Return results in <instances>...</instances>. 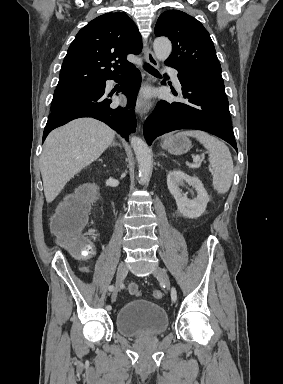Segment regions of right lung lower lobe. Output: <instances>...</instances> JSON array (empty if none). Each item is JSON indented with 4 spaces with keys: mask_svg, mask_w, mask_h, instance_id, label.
I'll return each mask as SVG.
<instances>
[{
    "mask_svg": "<svg viewBox=\"0 0 283 384\" xmlns=\"http://www.w3.org/2000/svg\"><path fill=\"white\" fill-rule=\"evenodd\" d=\"M121 82L119 91L127 96L126 107L111 108V100L104 97L106 83L94 86V91L85 98L56 110H51L43 133V141L55 128L79 117H93L103 121L122 137L128 140V135L135 131V103L140 87L141 77L137 69L115 80Z\"/></svg>",
    "mask_w": 283,
    "mask_h": 384,
    "instance_id": "1",
    "label": "right lung lower lobe"
}]
</instances>
